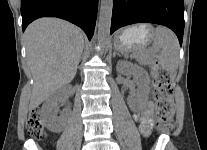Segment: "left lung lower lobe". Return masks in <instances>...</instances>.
Here are the masks:
<instances>
[{
    "label": "left lung lower lobe",
    "instance_id": "obj_1",
    "mask_svg": "<svg viewBox=\"0 0 207 150\" xmlns=\"http://www.w3.org/2000/svg\"><path fill=\"white\" fill-rule=\"evenodd\" d=\"M155 23L172 29L182 45L184 32L183 0H114L111 34L134 23Z\"/></svg>",
    "mask_w": 207,
    "mask_h": 150
}]
</instances>
